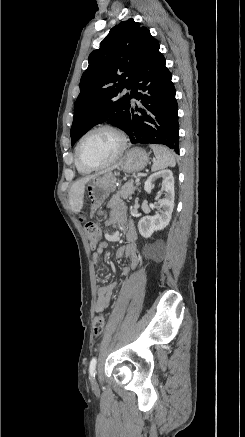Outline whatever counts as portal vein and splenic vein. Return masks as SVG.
Masks as SVG:
<instances>
[{"mask_svg": "<svg viewBox=\"0 0 245 437\" xmlns=\"http://www.w3.org/2000/svg\"><path fill=\"white\" fill-rule=\"evenodd\" d=\"M139 180H140V177H136V182H139Z\"/></svg>", "mask_w": 245, "mask_h": 437, "instance_id": "1", "label": "portal vein and splenic vein"}]
</instances>
